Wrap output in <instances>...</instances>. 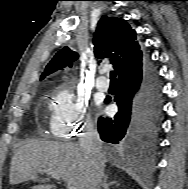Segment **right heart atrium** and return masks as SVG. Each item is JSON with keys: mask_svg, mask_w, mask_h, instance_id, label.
I'll return each mask as SVG.
<instances>
[{"mask_svg": "<svg viewBox=\"0 0 188 189\" xmlns=\"http://www.w3.org/2000/svg\"><path fill=\"white\" fill-rule=\"evenodd\" d=\"M51 132L55 137L74 138L93 129L88 103L77 97L68 87L54 91Z\"/></svg>", "mask_w": 188, "mask_h": 189, "instance_id": "1", "label": "right heart atrium"}]
</instances>
